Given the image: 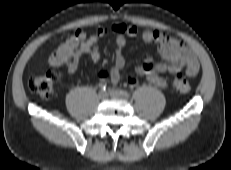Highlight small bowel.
<instances>
[{"instance_id": "1", "label": "small bowel", "mask_w": 231, "mask_h": 170, "mask_svg": "<svg viewBox=\"0 0 231 170\" xmlns=\"http://www.w3.org/2000/svg\"><path fill=\"white\" fill-rule=\"evenodd\" d=\"M109 32L115 34V59L111 69L100 73V77L102 82L117 83L120 80L121 70L126 63L123 51L127 45V38H133L138 34L137 27L127 23L115 24L110 28H99L86 38L67 63L69 75L75 74L80 59L84 55H88L95 63L99 61L98 43ZM141 38L146 43H156L158 52L163 59V62L156 63L149 57L136 68V72L152 84L166 89L168 82L161 76L163 73L174 74L183 70L188 76H195L198 73L199 63L194 51L180 39L159 30H144ZM127 81L130 85L137 83L134 76H128Z\"/></svg>"}]
</instances>
